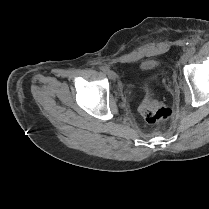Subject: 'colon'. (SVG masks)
<instances>
[{"label":"colon","mask_w":209,"mask_h":209,"mask_svg":"<svg viewBox=\"0 0 209 209\" xmlns=\"http://www.w3.org/2000/svg\"><path fill=\"white\" fill-rule=\"evenodd\" d=\"M139 112L149 124L166 121L172 114V110L153 98L150 90H146L144 99L139 106Z\"/></svg>","instance_id":"obj_1"}]
</instances>
